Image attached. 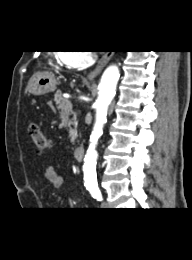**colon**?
I'll use <instances>...</instances> for the list:
<instances>
[{
    "instance_id": "colon-1",
    "label": "colon",
    "mask_w": 192,
    "mask_h": 260,
    "mask_svg": "<svg viewBox=\"0 0 192 260\" xmlns=\"http://www.w3.org/2000/svg\"><path fill=\"white\" fill-rule=\"evenodd\" d=\"M31 141L38 154H42L49 147V139L44 131L36 124L29 127Z\"/></svg>"
}]
</instances>
